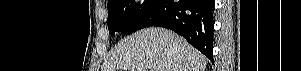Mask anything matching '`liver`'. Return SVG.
<instances>
[{
  "label": "liver",
  "mask_w": 301,
  "mask_h": 71,
  "mask_svg": "<svg viewBox=\"0 0 301 71\" xmlns=\"http://www.w3.org/2000/svg\"><path fill=\"white\" fill-rule=\"evenodd\" d=\"M207 58L182 36L149 27L121 40L101 71H205Z\"/></svg>",
  "instance_id": "liver-1"
}]
</instances>
